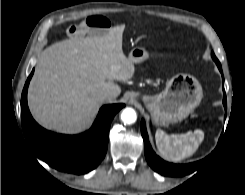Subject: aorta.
<instances>
[{
  "label": "aorta",
  "mask_w": 245,
  "mask_h": 195,
  "mask_svg": "<svg viewBox=\"0 0 245 195\" xmlns=\"http://www.w3.org/2000/svg\"><path fill=\"white\" fill-rule=\"evenodd\" d=\"M121 120L124 124H133L137 120V114L133 108H125L121 113Z\"/></svg>",
  "instance_id": "1"
}]
</instances>
